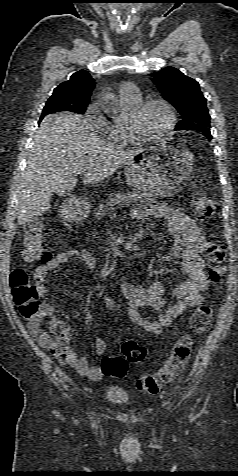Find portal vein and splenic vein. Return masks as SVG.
<instances>
[{
	"mask_svg": "<svg viewBox=\"0 0 238 476\" xmlns=\"http://www.w3.org/2000/svg\"><path fill=\"white\" fill-rule=\"evenodd\" d=\"M83 172H78V174H82Z\"/></svg>",
	"mask_w": 238,
	"mask_h": 476,
	"instance_id": "obj_1",
	"label": "portal vein and splenic vein"
}]
</instances>
